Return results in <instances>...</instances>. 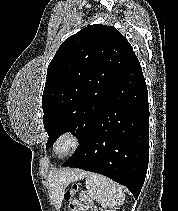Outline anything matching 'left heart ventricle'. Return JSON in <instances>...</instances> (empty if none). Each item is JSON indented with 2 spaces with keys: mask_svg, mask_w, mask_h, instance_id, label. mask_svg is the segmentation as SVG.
Listing matches in <instances>:
<instances>
[{
  "mask_svg": "<svg viewBox=\"0 0 178 211\" xmlns=\"http://www.w3.org/2000/svg\"><path fill=\"white\" fill-rule=\"evenodd\" d=\"M66 147V143L65 142H62L60 145H59V150L60 151H63Z\"/></svg>",
  "mask_w": 178,
  "mask_h": 211,
  "instance_id": "b2bd125f",
  "label": "left heart ventricle"
}]
</instances>
